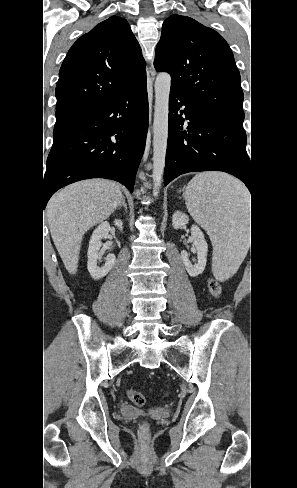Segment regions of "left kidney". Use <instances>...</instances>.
Masks as SVG:
<instances>
[{"instance_id": "1", "label": "left kidney", "mask_w": 297, "mask_h": 488, "mask_svg": "<svg viewBox=\"0 0 297 488\" xmlns=\"http://www.w3.org/2000/svg\"><path fill=\"white\" fill-rule=\"evenodd\" d=\"M188 222L189 217L185 213L177 211L173 214L172 225L174 229H179L182 226L188 224ZM191 235L194 240V246L196 248L197 263H191V261L189 260V254L185 250L181 252V259L189 275L192 277H196L202 274L205 269L208 245L205 241L203 232L196 224L192 225L191 227Z\"/></svg>"}]
</instances>
